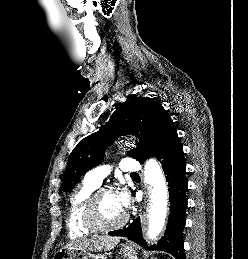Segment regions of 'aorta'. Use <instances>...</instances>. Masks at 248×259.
<instances>
[{
    "mask_svg": "<svg viewBox=\"0 0 248 259\" xmlns=\"http://www.w3.org/2000/svg\"><path fill=\"white\" fill-rule=\"evenodd\" d=\"M147 181L151 186V201L148 208V227L144 228L149 240H156L161 233L167 215L168 187L161 167L154 159L148 164Z\"/></svg>",
    "mask_w": 248,
    "mask_h": 259,
    "instance_id": "1",
    "label": "aorta"
}]
</instances>
